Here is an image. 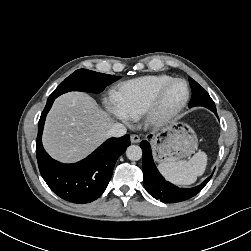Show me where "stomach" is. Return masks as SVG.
I'll use <instances>...</instances> for the list:
<instances>
[{"mask_svg":"<svg viewBox=\"0 0 251 251\" xmlns=\"http://www.w3.org/2000/svg\"><path fill=\"white\" fill-rule=\"evenodd\" d=\"M153 148L156 161H178L195 151L197 137L187 124L174 122L154 137Z\"/></svg>","mask_w":251,"mask_h":251,"instance_id":"stomach-1","label":"stomach"}]
</instances>
